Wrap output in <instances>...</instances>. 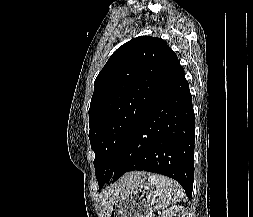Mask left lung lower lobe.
<instances>
[{"label":"left lung lower lobe","instance_id":"0a47b994","mask_svg":"<svg viewBox=\"0 0 253 217\" xmlns=\"http://www.w3.org/2000/svg\"><path fill=\"white\" fill-rule=\"evenodd\" d=\"M194 126L192 96L183 70L132 124L119 152L112 182L128 171L155 172L178 181L191 197Z\"/></svg>","mask_w":253,"mask_h":217}]
</instances>
